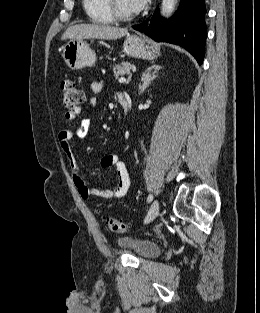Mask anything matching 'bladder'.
Wrapping results in <instances>:
<instances>
[{"label":"bladder","mask_w":260,"mask_h":313,"mask_svg":"<svg viewBox=\"0 0 260 313\" xmlns=\"http://www.w3.org/2000/svg\"><path fill=\"white\" fill-rule=\"evenodd\" d=\"M118 244L129 250L131 254L141 258H153L160 254V246L151 240L133 236H122L117 239Z\"/></svg>","instance_id":"obj_1"}]
</instances>
